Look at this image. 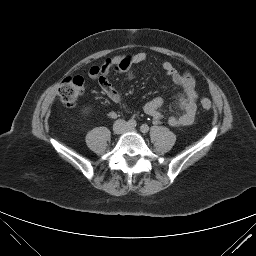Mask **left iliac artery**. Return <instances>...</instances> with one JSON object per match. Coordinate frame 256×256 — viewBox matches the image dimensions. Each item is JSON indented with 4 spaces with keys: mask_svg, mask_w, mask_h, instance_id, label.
I'll return each mask as SVG.
<instances>
[{
    "mask_svg": "<svg viewBox=\"0 0 256 256\" xmlns=\"http://www.w3.org/2000/svg\"><path fill=\"white\" fill-rule=\"evenodd\" d=\"M140 131H141L142 133H147V132L149 131V126H148L147 124H142V125L140 126Z\"/></svg>",
    "mask_w": 256,
    "mask_h": 256,
    "instance_id": "obj_1",
    "label": "left iliac artery"
}]
</instances>
